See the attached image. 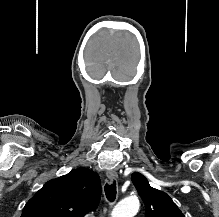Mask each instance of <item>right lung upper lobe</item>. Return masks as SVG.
<instances>
[{
  "label": "right lung upper lobe",
  "mask_w": 219,
  "mask_h": 217,
  "mask_svg": "<svg viewBox=\"0 0 219 217\" xmlns=\"http://www.w3.org/2000/svg\"><path fill=\"white\" fill-rule=\"evenodd\" d=\"M100 195L98 174L77 168L46 182L27 202L21 217H83L96 210Z\"/></svg>",
  "instance_id": "obj_1"
}]
</instances>
